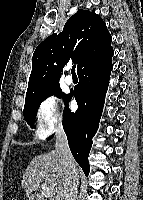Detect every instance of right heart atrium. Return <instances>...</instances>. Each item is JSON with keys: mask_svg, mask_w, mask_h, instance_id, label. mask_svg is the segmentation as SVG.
I'll return each mask as SVG.
<instances>
[{"mask_svg": "<svg viewBox=\"0 0 143 200\" xmlns=\"http://www.w3.org/2000/svg\"><path fill=\"white\" fill-rule=\"evenodd\" d=\"M37 136L41 139L50 137L63 124V117L58 99L50 94L43 97L36 108Z\"/></svg>", "mask_w": 143, "mask_h": 200, "instance_id": "right-heart-atrium-1", "label": "right heart atrium"}]
</instances>
